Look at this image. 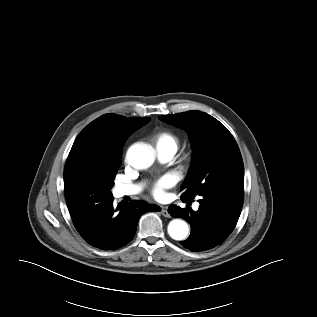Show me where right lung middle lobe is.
<instances>
[{
    "label": "right lung middle lobe",
    "mask_w": 317,
    "mask_h": 317,
    "mask_svg": "<svg viewBox=\"0 0 317 317\" xmlns=\"http://www.w3.org/2000/svg\"><path fill=\"white\" fill-rule=\"evenodd\" d=\"M150 121L144 118L141 126ZM121 165V156L106 151L83 149L69 156L64 169L65 196L77 195L86 201L112 197L114 178Z\"/></svg>",
    "instance_id": "obj_1"
}]
</instances>
